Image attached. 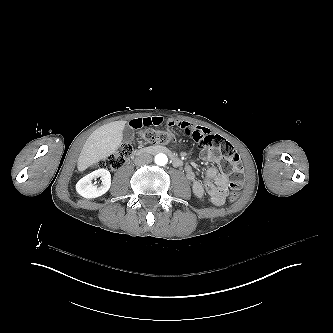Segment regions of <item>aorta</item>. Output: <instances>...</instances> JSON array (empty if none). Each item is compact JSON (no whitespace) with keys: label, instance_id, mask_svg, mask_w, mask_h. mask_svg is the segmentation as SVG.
<instances>
[{"label":"aorta","instance_id":"aorta-1","mask_svg":"<svg viewBox=\"0 0 333 333\" xmlns=\"http://www.w3.org/2000/svg\"><path fill=\"white\" fill-rule=\"evenodd\" d=\"M155 163L159 166H164L168 163V157L164 153H160L155 157Z\"/></svg>","mask_w":333,"mask_h":333}]
</instances>
